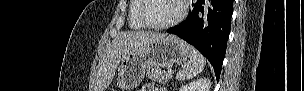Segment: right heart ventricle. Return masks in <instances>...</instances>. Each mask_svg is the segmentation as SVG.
<instances>
[{
    "mask_svg": "<svg viewBox=\"0 0 304 91\" xmlns=\"http://www.w3.org/2000/svg\"><path fill=\"white\" fill-rule=\"evenodd\" d=\"M139 0H132L129 6V25L132 29L141 30L145 26L140 22L138 18Z\"/></svg>",
    "mask_w": 304,
    "mask_h": 91,
    "instance_id": "right-heart-ventricle-1",
    "label": "right heart ventricle"
}]
</instances>
